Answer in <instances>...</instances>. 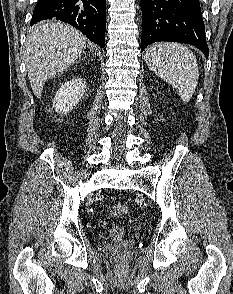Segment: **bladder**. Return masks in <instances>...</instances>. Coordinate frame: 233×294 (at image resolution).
<instances>
[{
  "label": "bladder",
  "mask_w": 233,
  "mask_h": 294,
  "mask_svg": "<svg viewBox=\"0 0 233 294\" xmlns=\"http://www.w3.org/2000/svg\"><path fill=\"white\" fill-rule=\"evenodd\" d=\"M125 229L121 226H114L110 229V235L114 238H119L125 235Z\"/></svg>",
  "instance_id": "31cf9c89"
}]
</instances>
